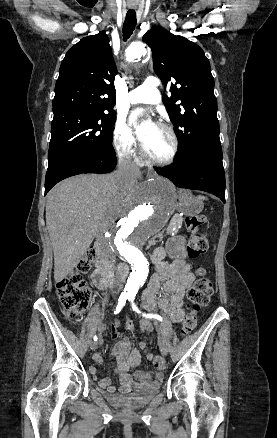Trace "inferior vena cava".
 Returning <instances> with one entry per match:
<instances>
[{
  "mask_svg": "<svg viewBox=\"0 0 277 438\" xmlns=\"http://www.w3.org/2000/svg\"><path fill=\"white\" fill-rule=\"evenodd\" d=\"M118 168L114 172L117 186H133L136 178L141 176L140 168L133 162L131 156H118ZM120 280L116 278L115 286H119Z\"/></svg>",
  "mask_w": 277,
  "mask_h": 438,
  "instance_id": "602c4592",
  "label": "inferior vena cava"
}]
</instances>
